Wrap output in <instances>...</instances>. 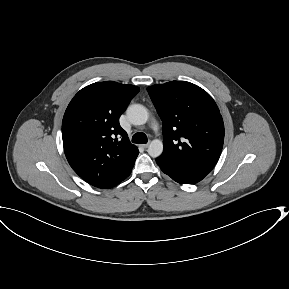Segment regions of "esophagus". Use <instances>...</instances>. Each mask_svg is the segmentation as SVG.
<instances>
[{"mask_svg": "<svg viewBox=\"0 0 289 289\" xmlns=\"http://www.w3.org/2000/svg\"><path fill=\"white\" fill-rule=\"evenodd\" d=\"M148 146H149V144H148V143H147V144H143V145H142V147H143L144 149L148 148Z\"/></svg>", "mask_w": 289, "mask_h": 289, "instance_id": "34e87169", "label": "esophagus"}]
</instances>
